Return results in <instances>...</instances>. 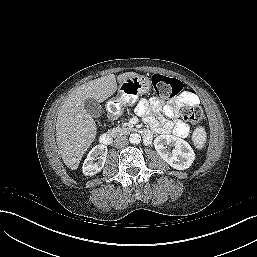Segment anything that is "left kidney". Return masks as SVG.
<instances>
[{
  "label": "left kidney",
  "instance_id": "left-kidney-1",
  "mask_svg": "<svg viewBox=\"0 0 257 257\" xmlns=\"http://www.w3.org/2000/svg\"><path fill=\"white\" fill-rule=\"evenodd\" d=\"M167 145L174 147L172 151L167 149ZM154 147L159 156L177 170L189 168L195 159V153L188 142L173 135H160L156 137Z\"/></svg>",
  "mask_w": 257,
  "mask_h": 257
}]
</instances>
